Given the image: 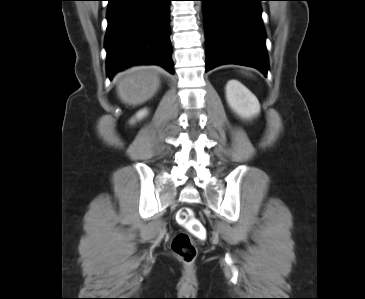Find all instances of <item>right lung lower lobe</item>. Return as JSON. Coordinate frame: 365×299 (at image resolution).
<instances>
[{"label":"right lung lower lobe","instance_id":"obj_1","mask_svg":"<svg viewBox=\"0 0 365 299\" xmlns=\"http://www.w3.org/2000/svg\"><path fill=\"white\" fill-rule=\"evenodd\" d=\"M171 0H108L107 76L138 64L174 73L169 33Z\"/></svg>","mask_w":365,"mask_h":299}]
</instances>
